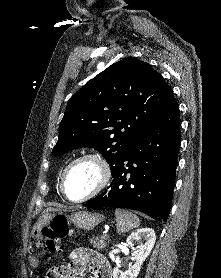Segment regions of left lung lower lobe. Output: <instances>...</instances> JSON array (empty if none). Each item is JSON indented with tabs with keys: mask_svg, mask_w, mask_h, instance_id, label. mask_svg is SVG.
<instances>
[{
	"mask_svg": "<svg viewBox=\"0 0 221 278\" xmlns=\"http://www.w3.org/2000/svg\"><path fill=\"white\" fill-rule=\"evenodd\" d=\"M179 148L180 117L175 101L158 122L126 148L112 170L109 189L84 206L138 210L156 220L166 221Z\"/></svg>",
	"mask_w": 221,
	"mask_h": 278,
	"instance_id": "obj_1",
	"label": "left lung lower lobe"
}]
</instances>
